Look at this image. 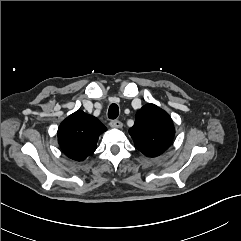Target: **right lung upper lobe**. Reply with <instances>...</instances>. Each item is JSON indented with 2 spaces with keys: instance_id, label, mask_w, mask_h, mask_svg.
I'll return each instance as SVG.
<instances>
[{
  "instance_id": "cb5924a9",
  "label": "right lung upper lobe",
  "mask_w": 241,
  "mask_h": 241,
  "mask_svg": "<svg viewBox=\"0 0 241 241\" xmlns=\"http://www.w3.org/2000/svg\"><path fill=\"white\" fill-rule=\"evenodd\" d=\"M106 130L96 117L78 110L60 124L58 143L67 157L83 161L96 150L98 137Z\"/></svg>"
}]
</instances>
